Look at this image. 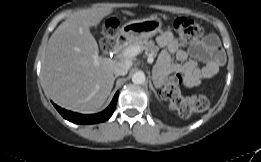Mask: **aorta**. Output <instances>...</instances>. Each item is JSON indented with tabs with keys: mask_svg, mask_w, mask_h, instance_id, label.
I'll list each match as a JSON object with an SVG mask.
<instances>
[{
	"mask_svg": "<svg viewBox=\"0 0 261 162\" xmlns=\"http://www.w3.org/2000/svg\"><path fill=\"white\" fill-rule=\"evenodd\" d=\"M132 82L134 84H143L145 82V74L142 71H137L132 75Z\"/></svg>",
	"mask_w": 261,
	"mask_h": 162,
	"instance_id": "obj_1",
	"label": "aorta"
}]
</instances>
